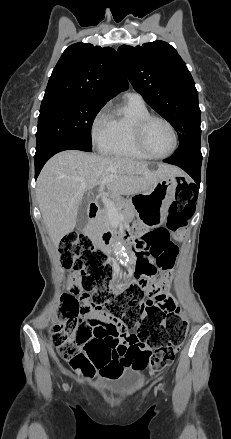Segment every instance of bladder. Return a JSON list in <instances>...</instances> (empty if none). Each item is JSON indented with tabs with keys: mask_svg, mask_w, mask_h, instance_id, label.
Wrapping results in <instances>:
<instances>
[{
	"mask_svg": "<svg viewBox=\"0 0 231 439\" xmlns=\"http://www.w3.org/2000/svg\"><path fill=\"white\" fill-rule=\"evenodd\" d=\"M144 382V375L138 369L131 370L124 383L117 387L110 388L112 394L122 396L136 392Z\"/></svg>",
	"mask_w": 231,
	"mask_h": 439,
	"instance_id": "obj_1",
	"label": "bladder"
}]
</instances>
